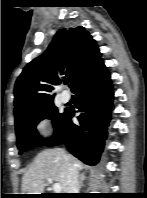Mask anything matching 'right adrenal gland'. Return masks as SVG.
<instances>
[{
	"label": "right adrenal gland",
	"instance_id": "2a0ac1e0",
	"mask_svg": "<svg viewBox=\"0 0 147 198\" xmlns=\"http://www.w3.org/2000/svg\"><path fill=\"white\" fill-rule=\"evenodd\" d=\"M85 178H86L85 173H82L79 177V188H81L83 186V182H84Z\"/></svg>",
	"mask_w": 147,
	"mask_h": 198
}]
</instances>
